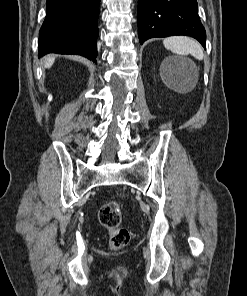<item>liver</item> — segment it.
<instances>
[{"instance_id":"liver-1","label":"liver","mask_w":247,"mask_h":296,"mask_svg":"<svg viewBox=\"0 0 247 296\" xmlns=\"http://www.w3.org/2000/svg\"><path fill=\"white\" fill-rule=\"evenodd\" d=\"M54 61H55V57L48 56V57L45 58L44 66L46 68H50L53 65Z\"/></svg>"}]
</instances>
